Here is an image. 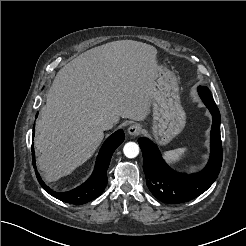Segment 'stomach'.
<instances>
[{
    "label": "stomach",
    "instance_id": "stomach-1",
    "mask_svg": "<svg viewBox=\"0 0 246 246\" xmlns=\"http://www.w3.org/2000/svg\"><path fill=\"white\" fill-rule=\"evenodd\" d=\"M152 113L151 131L160 145H167L185 127L186 114L180 102L178 78L161 68L155 79Z\"/></svg>",
    "mask_w": 246,
    "mask_h": 246
}]
</instances>
